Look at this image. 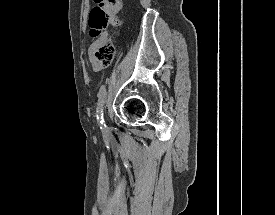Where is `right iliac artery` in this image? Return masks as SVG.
<instances>
[{
	"instance_id": "right-iliac-artery-1",
	"label": "right iliac artery",
	"mask_w": 275,
	"mask_h": 215,
	"mask_svg": "<svg viewBox=\"0 0 275 215\" xmlns=\"http://www.w3.org/2000/svg\"><path fill=\"white\" fill-rule=\"evenodd\" d=\"M106 95V88L105 85H102L98 92V103H97V119L99 122V126L102 130L106 128V125L104 123V117H103V101Z\"/></svg>"
}]
</instances>
